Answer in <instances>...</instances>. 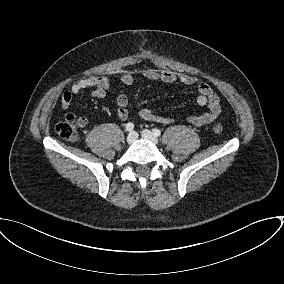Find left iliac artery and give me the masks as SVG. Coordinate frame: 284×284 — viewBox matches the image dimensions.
<instances>
[{"instance_id":"left-iliac-artery-1","label":"left iliac artery","mask_w":284,"mask_h":284,"mask_svg":"<svg viewBox=\"0 0 284 284\" xmlns=\"http://www.w3.org/2000/svg\"><path fill=\"white\" fill-rule=\"evenodd\" d=\"M152 132L157 137L161 135V131L159 129H157V128L152 129Z\"/></svg>"}]
</instances>
